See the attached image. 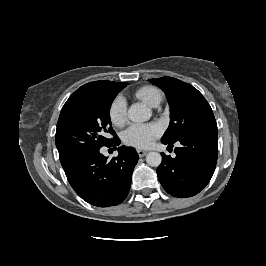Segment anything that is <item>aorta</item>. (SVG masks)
<instances>
[{
    "label": "aorta",
    "mask_w": 266,
    "mask_h": 266,
    "mask_svg": "<svg viewBox=\"0 0 266 266\" xmlns=\"http://www.w3.org/2000/svg\"><path fill=\"white\" fill-rule=\"evenodd\" d=\"M151 110L142 103H135L128 110V117L133 122H145L151 117ZM162 156L158 152H149L146 156V162L152 167H157L161 164Z\"/></svg>",
    "instance_id": "1"
}]
</instances>
